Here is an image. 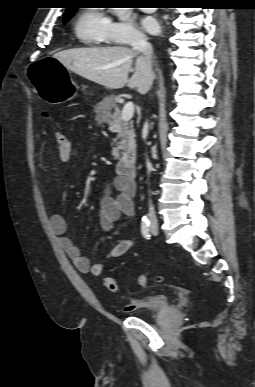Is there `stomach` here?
Instances as JSON below:
<instances>
[{
    "label": "stomach",
    "mask_w": 255,
    "mask_h": 387,
    "mask_svg": "<svg viewBox=\"0 0 255 387\" xmlns=\"http://www.w3.org/2000/svg\"><path fill=\"white\" fill-rule=\"evenodd\" d=\"M31 65L25 66V73L31 77L33 91H39L47 103L60 104L72 98L75 83L57 59L43 55L42 61H33Z\"/></svg>",
    "instance_id": "1"
}]
</instances>
